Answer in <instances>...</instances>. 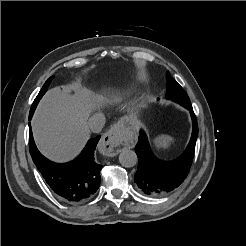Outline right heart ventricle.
<instances>
[{"mask_svg":"<svg viewBox=\"0 0 246 246\" xmlns=\"http://www.w3.org/2000/svg\"><path fill=\"white\" fill-rule=\"evenodd\" d=\"M123 96H124V94L119 92V93L113 94L111 97L114 99H122Z\"/></svg>","mask_w":246,"mask_h":246,"instance_id":"e07e8e85","label":"right heart ventricle"}]
</instances>
